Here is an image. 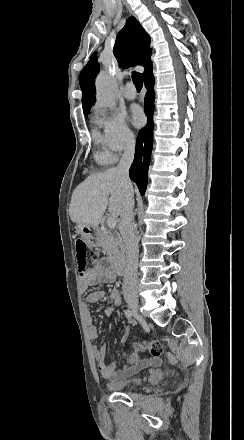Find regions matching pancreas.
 Here are the masks:
<instances>
[{
    "label": "pancreas",
    "instance_id": "obj_1",
    "mask_svg": "<svg viewBox=\"0 0 244 440\" xmlns=\"http://www.w3.org/2000/svg\"><path fill=\"white\" fill-rule=\"evenodd\" d=\"M102 252L107 254L109 260L112 264H118L122 260L123 254V244L119 232L116 230H109V232H101L100 234V244Z\"/></svg>",
    "mask_w": 244,
    "mask_h": 440
}]
</instances>
